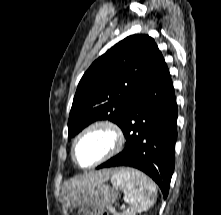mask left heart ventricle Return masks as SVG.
Wrapping results in <instances>:
<instances>
[{
  "instance_id": "b2bd125f",
  "label": "left heart ventricle",
  "mask_w": 221,
  "mask_h": 215,
  "mask_svg": "<svg viewBox=\"0 0 221 215\" xmlns=\"http://www.w3.org/2000/svg\"><path fill=\"white\" fill-rule=\"evenodd\" d=\"M108 146V138L102 133H92L83 138L76 148L80 164L88 165L99 158Z\"/></svg>"
}]
</instances>
